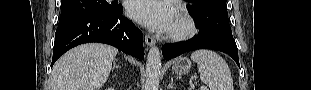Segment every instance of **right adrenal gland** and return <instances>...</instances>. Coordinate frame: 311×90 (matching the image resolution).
I'll return each mask as SVG.
<instances>
[{
	"instance_id": "1",
	"label": "right adrenal gland",
	"mask_w": 311,
	"mask_h": 90,
	"mask_svg": "<svg viewBox=\"0 0 311 90\" xmlns=\"http://www.w3.org/2000/svg\"><path fill=\"white\" fill-rule=\"evenodd\" d=\"M115 68H120V66H116V63H115V61H114V64H113V69H112V71L115 69Z\"/></svg>"
}]
</instances>
